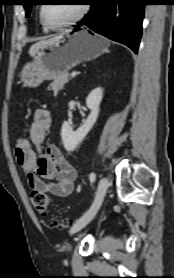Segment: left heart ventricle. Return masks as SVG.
<instances>
[{"instance_id":"left-heart-ventricle-1","label":"left heart ventricle","mask_w":174,"mask_h":278,"mask_svg":"<svg viewBox=\"0 0 174 278\" xmlns=\"http://www.w3.org/2000/svg\"><path fill=\"white\" fill-rule=\"evenodd\" d=\"M81 7V4L46 5L45 15L50 23L58 25L75 17L81 10Z\"/></svg>"}]
</instances>
